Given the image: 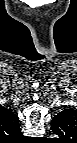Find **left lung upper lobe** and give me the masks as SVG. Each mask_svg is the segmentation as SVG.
I'll return each mask as SVG.
<instances>
[{
  "instance_id": "obj_1",
  "label": "left lung upper lobe",
  "mask_w": 77,
  "mask_h": 143,
  "mask_svg": "<svg viewBox=\"0 0 77 143\" xmlns=\"http://www.w3.org/2000/svg\"><path fill=\"white\" fill-rule=\"evenodd\" d=\"M71 122H72V118L67 122L63 121L62 123L52 124V128H51L52 132L60 136H66Z\"/></svg>"
}]
</instances>
